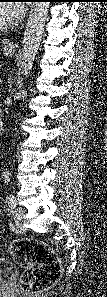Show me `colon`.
<instances>
[{"mask_svg": "<svg viewBox=\"0 0 107 297\" xmlns=\"http://www.w3.org/2000/svg\"><path fill=\"white\" fill-rule=\"evenodd\" d=\"M16 263L25 268L22 290L30 297L50 288L59 277L61 266L54 252L36 240H17L10 246Z\"/></svg>", "mask_w": 107, "mask_h": 297, "instance_id": "1", "label": "colon"}]
</instances>
